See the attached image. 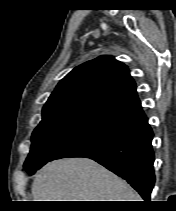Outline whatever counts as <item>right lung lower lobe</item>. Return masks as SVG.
<instances>
[{
	"instance_id": "obj_1",
	"label": "right lung lower lobe",
	"mask_w": 176,
	"mask_h": 211,
	"mask_svg": "<svg viewBox=\"0 0 176 211\" xmlns=\"http://www.w3.org/2000/svg\"><path fill=\"white\" fill-rule=\"evenodd\" d=\"M152 138V129L140 107L100 121L49 161L65 157L91 158L125 179L149 202L155 183Z\"/></svg>"
}]
</instances>
